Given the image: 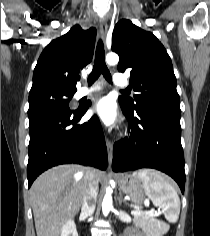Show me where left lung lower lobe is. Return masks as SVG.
Masks as SVG:
<instances>
[{"label": "left lung lower lobe", "mask_w": 210, "mask_h": 236, "mask_svg": "<svg viewBox=\"0 0 210 236\" xmlns=\"http://www.w3.org/2000/svg\"><path fill=\"white\" fill-rule=\"evenodd\" d=\"M120 105L129 122V137L114 144L113 170L158 169L170 175L184 193L180 106L150 103L129 111Z\"/></svg>", "instance_id": "obj_1"}]
</instances>
